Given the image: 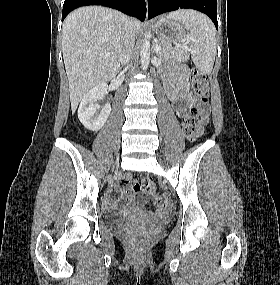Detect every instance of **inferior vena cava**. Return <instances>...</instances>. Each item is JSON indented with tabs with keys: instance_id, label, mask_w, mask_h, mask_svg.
Wrapping results in <instances>:
<instances>
[{
	"instance_id": "inferior-vena-cava-1",
	"label": "inferior vena cava",
	"mask_w": 280,
	"mask_h": 285,
	"mask_svg": "<svg viewBox=\"0 0 280 285\" xmlns=\"http://www.w3.org/2000/svg\"><path fill=\"white\" fill-rule=\"evenodd\" d=\"M123 48L120 52V63L126 65L130 62L135 44V31L130 20L126 21L124 29Z\"/></svg>"
}]
</instances>
